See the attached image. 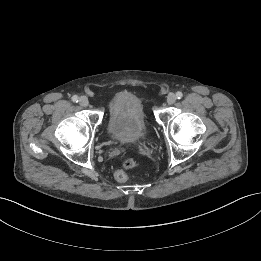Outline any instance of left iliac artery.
I'll return each instance as SVG.
<instances>
[{"mask_svg": "<svg viewBox=\"0 0 261 261\" xmlns=\"http://www.w3.org/2000/svg\"><path fill=\"white\" fill-rule=\"evenodd\" d=\"M182 97H183L182 92L178 91V92L176 93V98H177V99H181Z\"/></svg>", "mask_w": 261, "mask_h": 261, "instance_id": "1", "label": "left iliac artery"}]
</instances>
